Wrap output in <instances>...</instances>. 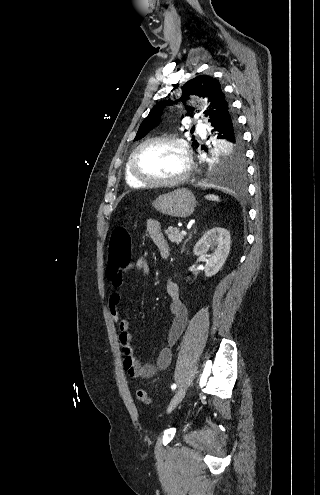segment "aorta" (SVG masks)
I'll return each mask as SVG.
<instances>
[{
    "label": "aorta",
    "instance_id": "1",
    "mask_svg": "<svg viewBox=\"0 0 320 495\" xmlns=\"http://www.w3.org/2000/svg\"><path fill=\"white\" fill-rule=\"evenodd\" d=\"M213 179H214L215 181H219V182H222V181H223V179H222V178H219V177H213Z\"/></svg>",
    "mask_w": 320,
    "mask_h": 495
}]
</instances>
